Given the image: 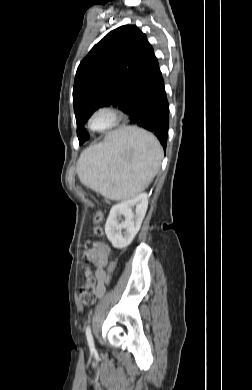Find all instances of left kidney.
<instances>
[{"mask_svg":"<svg viewBox=\"0 0 252 390\" xmlns=\"http://www.w3.org/2000/svg\"><path fill=\"white\" fill-rule=\"evenodd\" d=\"M147 207L148 196L146 193H141L111 208L105 224V233L114 248L123 249L133 241L141 227ZM121 215L125 218L122 222L118 219ZM123 229H125L124 233H122Z\"/></svg>","mask_w":252,"mask_h":390,"instance_id":"5707ae66","label":"left kidney"}]
</instances>
